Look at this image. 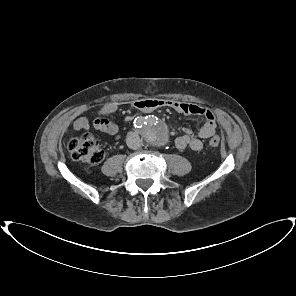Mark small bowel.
Returning a JSON list of instances; mask_svg holds the SVG:
<instances>
[{"mask_svg": "<svg viewBox=\"0 0 296 296\" xmlns=\"http://www.w3.org/2000/svg\"><path fill=\"white\" fill-rule=\"evenodd\" d=\"M133 106L143 113H149L161 108H170L181 114L203 116L205 118V123L196 134L186 128L184 133L174 140L175 147L180 150L189 148L192 151H200L203 148V140L213 136L216 132V121L213 112L200 105L173 100L146 99L134 102ZM117 111L118 105L116 103L104 104L98 111V116L92 122L93 128L117 137L119 127L112 121L103 117L114 115ZM73 126L74 129L78 131L88 130L90 128V123L86 118H79L74 122Z\"/></svg>", "mask_w": 296, "mask_h": 296, "instance_id": "c3829d8e", "label": "small bowel"}]
</instances>
